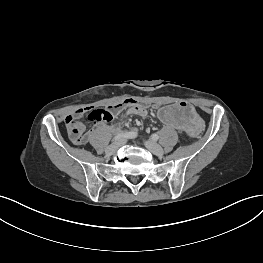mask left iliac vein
I'll use <instances>...</instances> for the list:
<instances>
[{"label": "left iliac vein", "mask_w": 263, "mask_h": 263, "mask_svg": "<svg viewBox=\"0 0 263 263\" xmlns=\"http://www.w3.org/2000/svg\"><path fill=\"white\" fill-rule=\"evenodd\" d=\"M145 147L156 156H162L164 154L163 148L153 140L146 141Z\"/></svg>", "instance_id": "obj_1"}]
</instances>
